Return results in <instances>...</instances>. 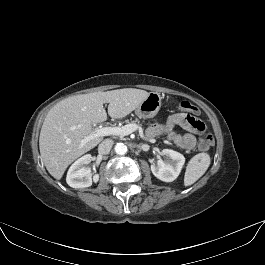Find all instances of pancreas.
<instances>
[{
    "mask_svg": "<svg viewBox=\"0 0 265 265\" xmlns=\"http://www.w3.org/2000/svg\"><path fill=\"white\" fill-rule=\"evenodd\" d=\"M129 124H136V123H138L139 124V121L136 119V120H133V121H131V122H128Z\"/></svg>",
    "mask_w": 265,
    "mask_h": 265,
    "instance_id": "pancreas-1",
    "label": "pancreas"
}]
</instances>
